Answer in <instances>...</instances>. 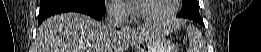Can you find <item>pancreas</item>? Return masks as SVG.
<instances>
[{"instance_id": "pancreas-1", "label": "pancreas", "mask_w": 261, "mask_h": 52, "mask_svg": "<svg viewBox=\"0 0 261 52\" xmlns=\"http://www.w3.org/2000/svg\"><path fill=\"white\" fill-rule=\"evenodd\" d=\"M170 51H171V52H174V50H173V49H171Z\"/></svg>"}]
</instances>
